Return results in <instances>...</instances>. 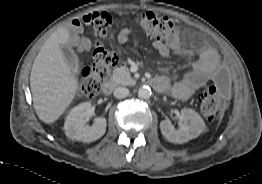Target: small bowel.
Returning <instances> with one entry per match:
<instances>
[{
    "instance_id": "small-bowel-1",
    "label": "small bowel",
    "mask_w": 262,
    "mask_h": 184,
    "mask_svg": "<svg viewBox=\"0 0 262 184\" xmlns=\"http://www.w3.org/2000/svg\"><path fill=\"white\" fill-rule=\"evenodd\" d=\"M81 27V22L78 19H74L70 24V29L74 32L80 31ZM133 33L134 31L130 28L121 29L117 34V39L119 42L125 43L129 41ZM70 44L84 51L91 48V41L87 37L73 36L70 39ZM153 47L163 57H168L172 53L187 57L196 55L192 61L191 70L176 83L171 84L164 76L155 78L159 82L157 91L171 94L181 101L190 99L197 90L210 82H214L219 67L223 66L216 50L208 46H200L196 50H191L184 45L178 33L173 34L166 40H154Z\"/></svg>"
}]
</instances>
